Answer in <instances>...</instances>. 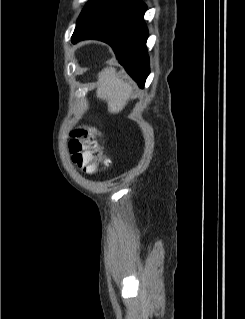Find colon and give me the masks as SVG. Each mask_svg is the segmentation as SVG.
Wrapping results in <instances>:
<instances>
[{"instance_id": "5ec220e1", "label": "colon", "mask_w": 245, "mask_h": 319, "mask_svg": "<svg viewBox=\"0 0 245 319\" xmlns=\"http://www.w3.org/2000/svg\"><path fill=\"white\" fill-rule=\"evenodd\" d=\"M69 148L74 163L88 173H93L100 166L109 163L95 138V133L85 127L76 128L71 132Z\"/></svg>"}]
</instances>
